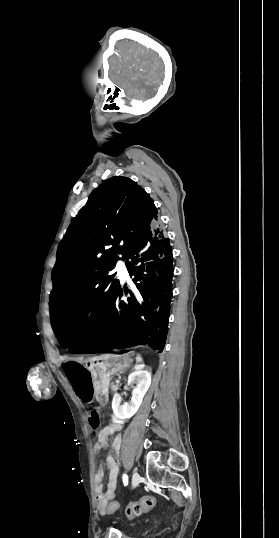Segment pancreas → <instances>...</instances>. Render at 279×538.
<instances>
[{
  "label": "pancreas",
  "instance_id": "cf45deb5",
  "mask_svg": "<svg viewBox=\"0 0 279 538\" xmlns=\"http://www.w3.org/2000/svg\"><path fill=\"white\" fill-rule=\"evenodd\" d=\"M110 384L113 386V388L115 389H118L120 387V384L118 383V381L116 379H112L110 381Z\"/></svg>",
  "mask_w": 279,
  "mask_h": 538
}]
</instances>
